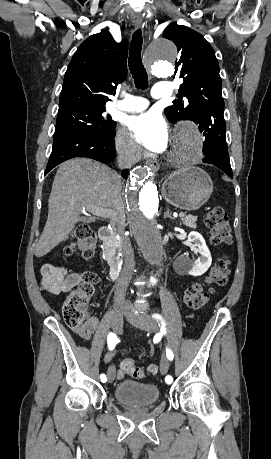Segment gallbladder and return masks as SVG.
I'll return each mask as SVG.
<instances>
[{
  "instance_id": "1",
  "label": "gallbladder",
  "mask_w": 271,
  "mask_h": 459,
  "mask_svg": "<svg viewBox=\"0 0 271 459\" xmlns=\"http://www.w3.org/2000/svg\"><path fill=\"white\" fill-rule=\"evenodd\" d=\"M82 222H87V220H82Z\"/></svg>"
}]
</instances>
